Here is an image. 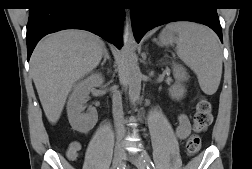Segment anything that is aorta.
<instances>
[{
  "label": "aorta",
  "mask_w": 252,
  "mask_h": 169,
  "mask_svg": "<svg viewBox=\"0 0 252 169\" xmlns=\"http://www.w3.org/2000/svg\"><path fill=\"white\" fill-rule=\"evenodd\" d=\"M135 40L131 31L124 35V45L122 54L125 60L124 69L127 75V84L129 86V100L133 107H136L141 92V72L133 64L135 56Z\"/></svg>",
  "instance_id": "762f6f07"
}]
</instances>
